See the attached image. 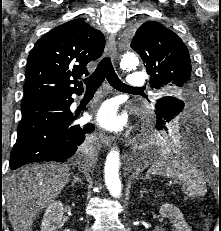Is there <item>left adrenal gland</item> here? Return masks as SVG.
<instances>
[{
    "label": "left adrenal gland",
    "instance_id": "obj_1",
    "mask_svg": "<svg viewBox=\"0 0 221 231\" xmlns=\"http://www.w3.org/2000/svg\"><path fill=\"white\" fill-rule=\"evenodd\" d=\"M144 193H147V190L145 188H141V190H140V198L143 197Z\"/></svg>",
    "mask_w": 221,
    "mask_h": 231
}]
</instances>
